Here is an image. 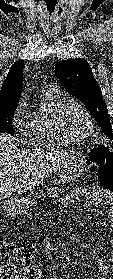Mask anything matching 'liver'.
I'll return each instance as SVG.
<instances>
[{"mask_svg":"<svg viewBox=\"0 0 113 279\" xmlns=\"http://www.w3.org/2000/svg\"><path fill=\"white\" fill-rule=\"evenodd\" d=\"M68 157L66 150L20 149L18 139L10 134H0V199L14 192L32 191L49 174L60 169Z\"/></svg>","mask_w":113,"mask_h":279,"instance_id":"obj_1","label":"liver"}]
</instances>
